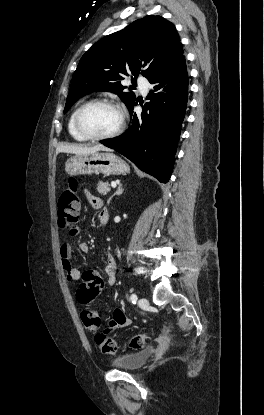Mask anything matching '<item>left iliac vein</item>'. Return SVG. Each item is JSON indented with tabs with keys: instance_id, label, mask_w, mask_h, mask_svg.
Masks as SVG:
<instances>
[{
	"instance_id": "obj_1",
	"label": "left iliac vein",
	"mask_w": 264,
	"mask_h": 415,
	"mask_svg": "<svg viewBox=\"0 0 264 415\" xmlns=\"http://www.w3.org/2000/svg\"><path fill=\"white\" fill-rule=\"evenodd\" d=\"M138 304L141 307H146L149 304V302H148V299L142 297L138 300Z\"/></svg>"
}]
</instances>
